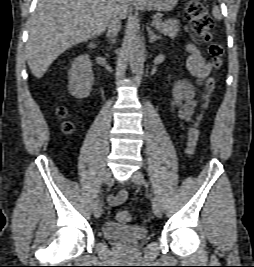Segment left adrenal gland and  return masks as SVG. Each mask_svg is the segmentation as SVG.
<instances>
[{"mask_svg": "<svg viewBox=\"0 0 254 267\" xmlns=\"http://www.w3.org/2000/svg\"><path fill=\"white\" fill-rule=\"evenodd\" d=\"M147 32H148L149 42L150 43H153L154 41L160 39V36L156 35L150 27H147Z\"/></svg>", "mask_w": 254, "mask_h": 267, "instance_id": "obj_1", "label": "left adrenal gland"}]
</instances>
